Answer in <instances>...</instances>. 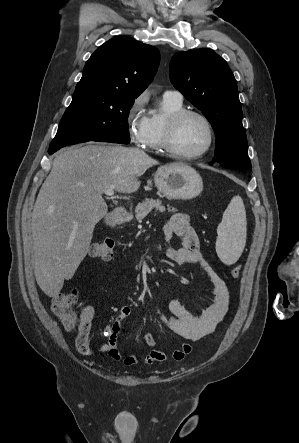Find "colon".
Listing matches in <instances>:
<instances>
[{"instance_id":"colon-1","label":"colon","mask_w":299,"mask_h":443,"mask_svg":"<svg viewBox=\"0 0 299 443\" xmlns=\"http://www.w3.org/2000/svg\"><path fill=\"white\" fill-rule=\"evenodd\" d=\"M114 241L111 239H101L92 244L90 248V255L93 258L109 261L113 257ZM241 274V267L234 266L231 270L233 278H238ZM77 290H70L61 292L53 297L51 309L53 313L60 319L62 325L67 330H81L85 329L86 324L83 321L81 314L75 310V305L78 302Z\"/></svg>"}]
</instances>
